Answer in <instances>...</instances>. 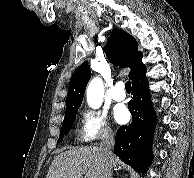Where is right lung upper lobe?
<instances>
[{
	"label": "right lung upper lobe",
	"instance_id": "cb5924a9",
	"mask_svg": "<svg viewBox=\"0 0 194 178\" xmlns=\"http://www.w3.org/2000/svg\"><path fill=\"white\" fill-rule=\"evenodd\" d=\"M106 55L111 63L122 68L130 67L129 78L132 84L145 78L146 69L142 63V54L138 44L129 33L123 29H114L107 42ZM91 77L88 62H83L74 71L68 88L66 113L78 110L83 100L86 85Z\"/></svg>",
	"mask_w": 194,
	"mask_h": 178
}]
</instances>
